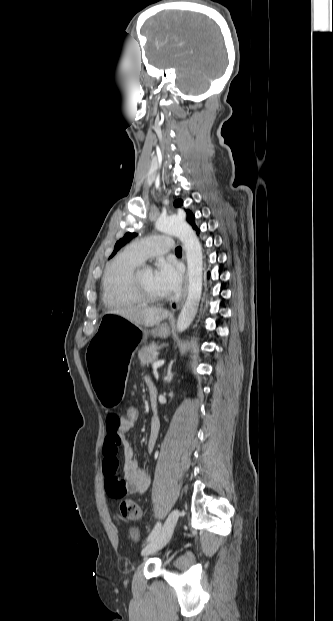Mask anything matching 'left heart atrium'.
I'll return each mask as SVG.
<instances>
[{"mask_svg":"<svg viewBox=\"0 0 333 621\" xmlns=\"http://www.w3.org/2000/svg\"><path fill=\"white\" fill-rule=\"evenodd\" d=\"M154 278L166 295L177 292L182 284L180 268L169 261H163L158 265L154 271Z\"/></svg>","mask_w":333,"mask_h":621,"instance_id":"obj_1","label":"left heart atrium"}]
</instances>
